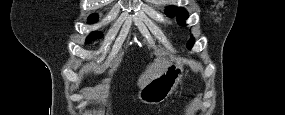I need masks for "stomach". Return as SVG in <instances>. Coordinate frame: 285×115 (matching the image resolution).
Here are the masks:
<instances>
[{"label":"stomach","mask_w":285,"mask_h":115,"mask_svg":"<svg viewBox=\"0 0 285 115\" xmlns=\"http://www.w3.org/2000/svg\"><path fill=\"white\" fill-rule=\"evenodd\" d=\"M183 71L182 64L171 63L160 76L152 79L140 89L138 93L140 102L145 104H159L163 102L177 87Z\"/></svg>","instance_id":"0dacf381"}]
</instances>
